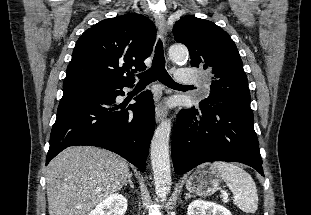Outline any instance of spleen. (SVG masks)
Instances as JSON below:
<instances>
[{
  "label": "spleen",
  "instance_id": "obj_1",
  "mask_svg": "<svg viewBox=\"0 0 311 215\" xmlns=\"http://www.w3.org/2000/svg\"><path fill=\"white\" fill-rule=\"evenodd\" d=\"M211 168L218 171L234 195V204L243 212L254 213L258 208L256 184L249 173L236 164L214 162Z\"/></svg>",
  "mask_w": 311,
  "mask_h": 215
}]
</instances>
